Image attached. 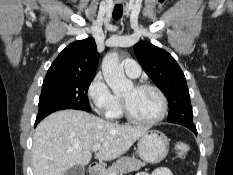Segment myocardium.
Returning a JSON list of instances; mask_svg holds the SVG:
<instances>
[{"instance_id": "obj_1", "label": "myocardium", "mask_w": 233, "mask_h": 175, "mask_svg": "<svg viewBox=\"0 0 233 175\" xmlns=\"http://www.w3.org/2000/svg\"><path fill=\"white\" fill-rule=\"evenodd\" d=\"M134 88L136 90L150 89V90L155 91L161 100L160 114L151 120L139 119L132 114L127 101L121 97V108H122V114L124 115V117L130 123H133L136 125H143V126L154 125L162 121L166 117L167 111H168V101H167V98L164 92L158 86L149 84V83H139V84L134 85Z\"/></svg>"}]
</instances>
